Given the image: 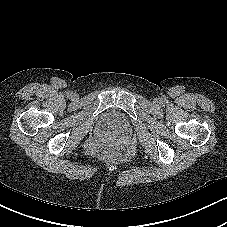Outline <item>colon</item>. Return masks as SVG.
I'll use <instances>...</instances> for the list:
<instances>
[{
    "label": "colon",
    "mask_w": 227,
    "mask_h": 227,
    "mask_svg": "<svg viewBox=\"0 0 227 227\" xmlns=\"http://www.w3.org/2000/svg\"><path fill=\"white\" fill-rule=\"evenodd\" d=\"M104 158L106 160L113 161L121 158V155L113 148L105 154Z\"/></svg>",
    "instance_id": "5ec220e1"
}]
</instances>
